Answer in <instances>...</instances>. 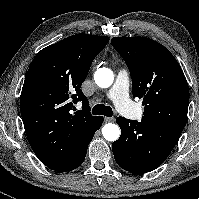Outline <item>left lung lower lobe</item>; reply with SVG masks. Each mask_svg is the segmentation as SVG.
<instances>
[{
    "instance_id": "obj_1",
    "label": "left lung lower lobe",
    "mask_w": 199,
    "mask_h": 199,
    "mask_svg": "<svg viewBox=\"0 0 199 199\" xmlns=\"http://www.w3.org/2000/svg\"><path fill=\"white\" fill-rule=\"evenodd\" d=\"M120 138L112 143L117 164L131 173L142 174L158 168L169 156L180 135L141 120L116 118Z\"/></svg>"
}]
</instances>
